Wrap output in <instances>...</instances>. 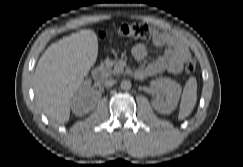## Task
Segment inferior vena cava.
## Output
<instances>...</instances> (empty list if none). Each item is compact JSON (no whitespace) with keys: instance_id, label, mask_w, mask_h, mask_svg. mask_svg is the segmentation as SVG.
Masks as SVG:
<instances>
[{"instance_id":"1","label":"inferior vena cava","mask_w":243,"mask_h":167,"mask_svg":"<svg viewBox=\"0 0 243 167\" xmlns=\"http://www.w3.org/2000/svg\"><path fill=\"white\" fill-rule=\"evenodd\" d=\"M115 83H116V81H115L114 79H109V80H106V81L104 82V85H105L106 87H111V86H113Z\"/></svg>"}]
</instances>
